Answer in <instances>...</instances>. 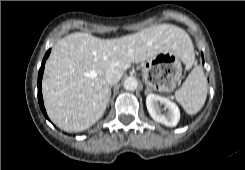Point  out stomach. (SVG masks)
<instances>
[{"label": "stomach", "mask_w": 245, "mask_h": 170, "mask_svg": "<svg viewBox=\"0 0 245 170\" xmlns=\"http://www.w3.org/2000/svg\"><path fill=\"white\" fill-rule=\"evenodd\" d=\"M182 57L176 51L162 52L142 64L144 82L150 90L168 92L182 77Z\"/></svg>", "instance_id": "1"}]
</instances>
